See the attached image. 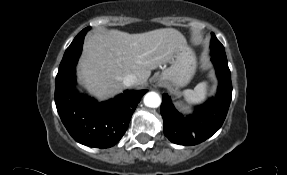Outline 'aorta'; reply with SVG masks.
<instances>
[{
    "label": "aorta",
    "instance_id": "762f6f07",
    "mask_svg": "<svg viewBox=\"0 0 287 175\" xmlns=\"http://www.w3.org/2000/svg\"><path fill=\"white\" fill-rule=\"evenodd\" d=\"M143 101H144L145 106L151 107V108H157L161 104V98L159 94H157L156 92H148L144 96Z\"/></svg>",
    "mask_w": 287,
    "mask_h": 175
}]
</instances>
